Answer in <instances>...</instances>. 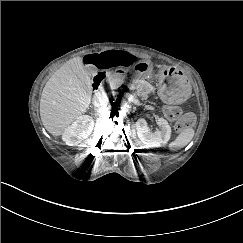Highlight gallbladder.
<instances>
[{
    "label": "gallbladder",
    "instance_id": "gallbladder-1",
    "mask_svg": "<svg viewBox=\"0 0 243 243\" xmlns=\"http://www.w3.org/2000/svg\"><path fill=\"white\" fill-rule=\"evenodd\" d=\"M85 71L87 74H94L96 72V67L93 65H86Z\"/></svg>",
    "mask_w": 243,
    "mask_h": 243
}]
</instances>
